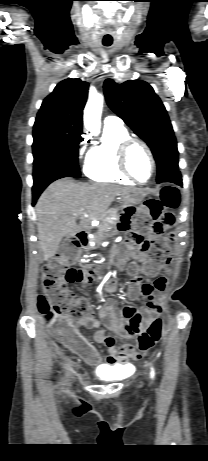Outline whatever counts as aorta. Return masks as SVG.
Wrapping results in <instances>:
<instances>
[{
  "mask_svg": "<svg viewBox=\"0 0 208 461\" xmlns=\"http://www.w3.org/2000/svg\"><path fill=\"white\" fill-rule=\"evenodd\" d=\"M104 97L96 91H91L84 109V126L91 133L98 135L101 129V114Z\"/></svg>",
  "mask_w": 208,
  "mask_h": 461,
  "instance_id": "obj_1",
  "label": "aorta"
}]
</instances>
